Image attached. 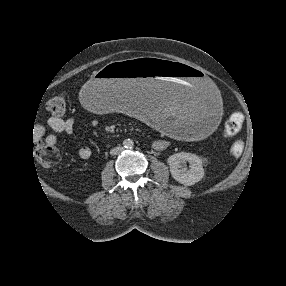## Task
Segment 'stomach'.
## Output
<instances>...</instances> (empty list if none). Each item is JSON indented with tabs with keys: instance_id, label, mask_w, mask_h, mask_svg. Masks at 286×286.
Returning a JSON list of instances; mask_svg holds the SVG:
<instances>
[{
	"instance_id": "stomach-1",
	"label": "stomach",
	"mask_w": 286,
	"mask_h": 286,
	"mask_svg": "<svg viewBox=\"0 0 286 286\" xmlns=\"http://www.w3.org/2000/svg\"><path fill=\"white\" fill-rule=\"evenodd\" d=\"M83 96L97 113L135 114L149 128L183 142L213 139L227 119L218 87L200 69L177 61L119 57L88 78Z\"/></svg>"
}]
</instances>
